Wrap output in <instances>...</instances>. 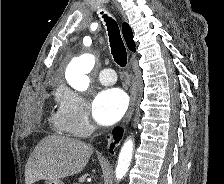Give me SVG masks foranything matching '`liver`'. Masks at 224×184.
<instances>
[{
	"mask_svg": "<svg viewBox=\"0 0 224 184\" xmlns=\"http://www.w3.org/2000/svg\"><path fill=\"white\" fill-rule=\"evenodd\" d=\"M93 153L92 145L61 136L44 137L25 166V184L57 180L80 173Z\"/></svg>",
	"mask_w": 224,
	"mask_h": 184,
	"instance_id": "1",
	"label": "liver"
}]
</instances>
